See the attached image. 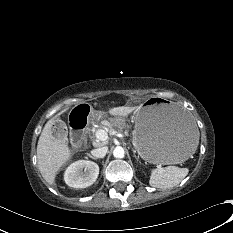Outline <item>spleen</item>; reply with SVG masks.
<instances>
[{
    "instance_id": "3e777b00",
    "label": "spleen",
    "mask_w": 233,
    "mask_h": 233,
    "mask_svg": "<svg viewBox=\"0 0 233 233\" xmlns=\"http://www.w3.org/2000/svg\"><path fill=\"white\" fill-rule=\"evenodd\" d=\"M188 174L187 168L168 166L156 168L150 175L149 184L152 187L167 189L179 184Z\"/></svg>"
}]
</instances>
